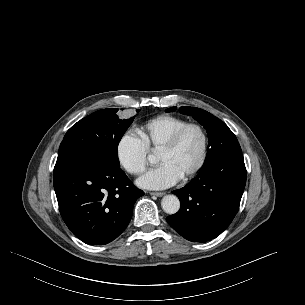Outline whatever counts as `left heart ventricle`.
Wrapping results in <instances>:
<instances>
[{
	"mask_svg": "<svg viewBox=\"0 0 305 305\" xmlns=\"http://www.w3.org/2000/svg\"><path fill=\"white\" fill-rule=\"evenodd\" d=\"M203 140L200 132L191 129L181 139L177 147L171 151L160 152L157 160L173 166L181 176L192 170L200 160Z\"/></svg>",
	"mask_w": 305,
	"mask_h": 305,
	"instance_id": "1",
	"label": "left heart ventricle"
}]
</instances>
